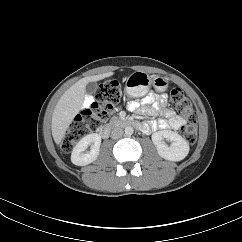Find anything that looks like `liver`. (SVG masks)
<instances>
[{"mask_svg": "<svg viewBox=\"0 0 242 242\" xmlns=\"http://www.w3.org/2000/svg\"><path fill=\"white\" fill-rule=\"evenodd\" d=\"M112 75L113 72H107L82 78L62 95L52 115L51 130L56 144H61L74 117L81 110L87 84L89 82L102 80Z\"/></svg>", "mask_w": 242, "mask_h": 242, "instance_id": "1", "label": "liver"}]
</instances>
